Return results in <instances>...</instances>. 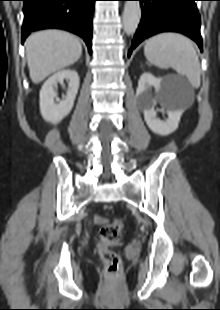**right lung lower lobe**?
I'll use <instances>...</instances> for the list:
<instances>
[{"label": "right lung lower lobe", "instance_id": "right-lung-lower-lobe-1", "mask_svg": "<svg viewBox=\"0 0 220 310\" xmlns=\"http://www.w3.org/2000/svg\"><path fill=\"white\" fill-rule=\"evenodd\" d=\"M22 43L34 31L58 28L77 34L89 53L92 44V16L96 0H22Z\"/></svg>", "mask_w": 220, "mask_h": 310}]
</instances>
